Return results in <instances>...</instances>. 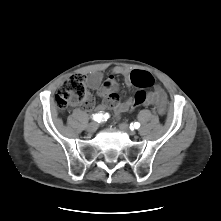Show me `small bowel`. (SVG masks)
<instances>
[{"mask_svg":"<svg viewBox=\"0 0 221 221\" xmlns=\"http://www.w3.org/2000/svg\"><path fill=\"white\" fill-rule=\"evenodd\" d=\"M134 71L149 74L145 71H130L127 68L117 66L113 69L112 75L104 82H102V75L98 72L91 73L87 77L88 87L92 90H97L98 93L104 97V101L98 106L99 110L112 109L115 115L118 117L122 113L128 112L136 107L134 99L129 98L123 101L120 100L117 93L118 84L114 78V75H121L124 77L128 86L132 84L135 85L131 79L132 72ZM167 102L168 100L165 91L159 85H155L153 90L147 95L143 105L153 106L160 115H163L167 108Z\"/></svg>","mask_w":221,"mask_h":221,"instance_id":"c3829d8e","label":"small bowel"}]
</instances>
